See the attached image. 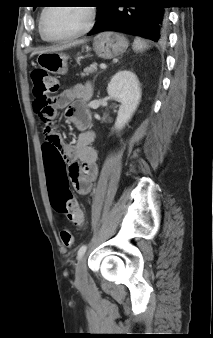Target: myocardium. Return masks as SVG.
<instances>
[{
  "label": "myocardium",
  "mask_w": 213,
  "mask_h": 338,
  "mask_svg": "<svg viewBox=\"0 0 213 338\" xmlns=\"http://www.w3.org/2000/svg\"><path fill=\"white\" fill-rule=\"evenodd\" d=\"M54 4H49L46 9L43 11L41 17H40V21H39V32L41 37L47 41V42H52V43H58V42H64V41H69V40H73V39H77L80 38L82 36H84L85 34H87L93 27L94 25V20H95V15H96V11L95 9L90 6L89 4H85V10L87 12V22L84 25L83 28H81L79 31L64 36V37H59V38H49L46 36L45 32H44V24H45V18L48 14V12L54 8L53 7Z\"/></svg>",
  "instance_id": "myocardium-1"
}]
</instances>
